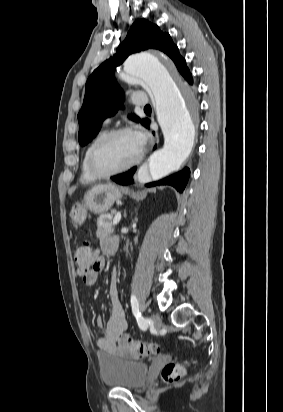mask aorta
Returning a JSON list of instances; mask_svg holds the SVG:
<instances>
[{
  "instance_id": "1",
  "label": "aorta",
  "mask_w": 283,
  "mask_h": 412,
  "mask_svg": "<svg viewBox=\"0 0 283 412\" xmlns=\"http://www.w3.org/2000/svg\"><path fill=\"white\" fill-rule=\"evenodd\" d=\"M168 63L165 57L143 52L125 61V74L121 76L127 82L142 83L154 98L164 146L148 160V171L153 180L178 170L191 153L195 139V123L188 107L190 90L176 83Z\"/></svg>"
}]
</instances>
